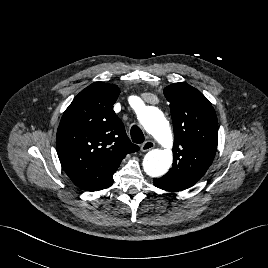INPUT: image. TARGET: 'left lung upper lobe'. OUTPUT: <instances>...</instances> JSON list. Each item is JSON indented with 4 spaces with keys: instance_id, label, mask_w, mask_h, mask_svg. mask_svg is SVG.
<instances>
[{
    "instance_id": "1",
    "label": "left lung upper lobe",
    "mask_w": 268,
    "mask_h": 268,
    "mask_svg": "<svg viewBox=\"0 0 268 268\" xmlns=\"http://www.w3.org/2000/svg\"><path fill=\"white\" fill-rule=\"evenodd\" d=\"M174 129L172 168L154 179L160 189L185 190L206 173L217 150L218 121L209 100L196 88L174 83L164 89Z\"/></svg>"
}]
</instances>
